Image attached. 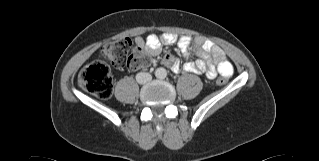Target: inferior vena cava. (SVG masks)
I'll return each mask as SVG.
<instances>
[{
  "label": "inferior vena cava",
  "instance_id": "602c4592",
  "mask_svg": "<svg viewBox=\"0 0 319 161\" xmlns=\"http://www.w3.org/2000/svg\"><path fill=\"white\" fill-rule=\"evenodd\" d=\"M152 80V76L151 74L149 73H145V72H140L136 75V81L139 83V84H145L149 81Z\"/></svg>",
  "mask_w": 319,
  "mask_h": 161
}]
</instances>
